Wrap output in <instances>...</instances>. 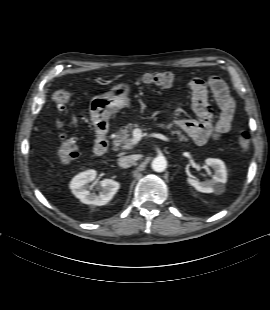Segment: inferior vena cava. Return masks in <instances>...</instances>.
I'll use <instances>...</instances> for the list:
<instances>
[{
  "label": "inferior vena cava",
  "instance_id": "1",
  "mask_svg": "<svg viewBox=\"0 0 270 310\" xmlns=\"http://www.w3.org/2000/svg\"><path fill=\"white\" fill-rule=\"evenodd\" d=\"M135 162L133 155L123 156L118 159V165L122 168H129Z\"/></svg>",
  "mask_w": 270,
  "mask_h": 310
}]
</instances>
